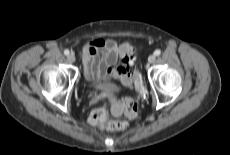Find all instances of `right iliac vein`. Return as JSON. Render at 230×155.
<instances>
[{
    "label": "right iliac vein",
    "instance_id": "obj_1",
    "mask_svg": "<svg viewBox=\"0 0 230 155\" xmlns=\"http://www.w3.org/2000/svg\"><path fill=\"white\" fill-rule=\"evenodd\" d=\"M67 60H68L70 63H73V62H75L76 57H75V55H74L73 53H70V54H68V56H67Z\"/></svg>",
    "mask_w": 230,
    "mask_h": 155
}]
</instances>
